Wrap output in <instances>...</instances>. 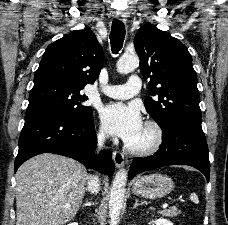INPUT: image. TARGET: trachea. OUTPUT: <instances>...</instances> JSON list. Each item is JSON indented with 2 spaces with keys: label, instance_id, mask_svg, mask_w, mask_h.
Masks as SVG:
<instances>
[{
  "label": "trachea",
  "instance_id": "obj_1",
  "mask_svg": "<svg viewBox=\"0 0 228 225\" xmlns=\"http://www.w3.org/2000/svg\"><path fill=\"white\" fill-rule=\"evenodd\" d=\"M125 26L122 21L114 19L110 32V43L112 51L116 54L122 48L125 37Z\"/></svg>",
  "mask_w": 228,
  "mask_h": 225
}]
</instances>
